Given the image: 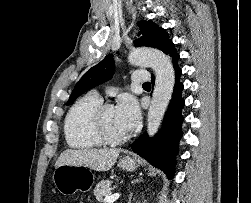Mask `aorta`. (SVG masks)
<instances>
[{
  "label": "aorta",
  "instance_id": "obj_1",
  "mask_svg": "<svg viewBox=\"0 0 251 203\" xmlns=\"http://www.w3.org/2000/svg\"><path fill=\"white\" fill-rule=\"evenodd\" d=\"M129 62L135 66H149L155 71V86L147 115V131L152 137L157 132L171 99L175 72L170 58L157 49H134L129 54Z\"/></svg>",
  "mask_w": 251,
  "mask_h": 203
}]
</instances>
